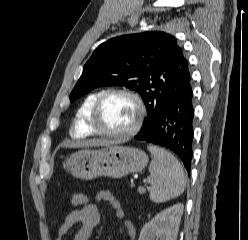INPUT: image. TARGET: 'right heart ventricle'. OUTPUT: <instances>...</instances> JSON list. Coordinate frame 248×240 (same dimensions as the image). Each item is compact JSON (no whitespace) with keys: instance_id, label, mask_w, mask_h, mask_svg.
<instances>
[{"instance_id":"1","label":"right heart ventricle","mask_w":248,"mask_h":240,"mask_svg":"<svg viewBox=\"0 0 248 240\" xmlns=\"http://www.w3.org/2000/svg\"><path fill=\"white\" fill-rule=\"evenodd\" d=\"M101 93L102 91L98 90L88 94L78 107L70 130L73 138L84 139L94 134L90 125V115L91 110Z\"/></svg>"}]
</instances>
